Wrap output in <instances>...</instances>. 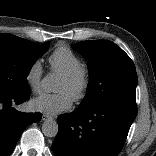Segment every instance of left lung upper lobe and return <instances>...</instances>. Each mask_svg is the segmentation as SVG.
Masks as SVG:
<instances>
[{"label": "left lung upper lobe", "mask_w": 156, "mask_h": 156, "mask_svg": "<svg viewBox=\"0 0 156 156\" xmlns=\"http://www.w3.org/2000/svg\"><path fill=\"white\" fill-rule=\"evenodd\" d=\"M73 49L88 61L90 81L77 110L105 103H123L136 107V68L130 57L108 40L81 41Z\"/></svg>", "instance_id": "obj_1"}]
</instances>
